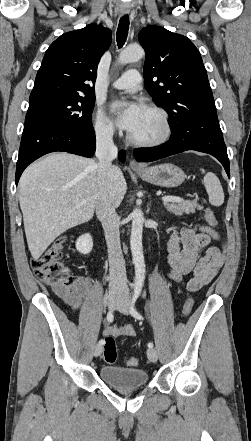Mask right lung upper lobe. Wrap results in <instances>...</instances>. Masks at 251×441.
Listing matches in <instances>:
<instances>
[{"instance_id": "1", "label": "right lung upper lobe", "mask_w": 251, "mask_h": 441, "mask_svg": "<svg viewBox=\"0 0 251 441\" xmlns=\"http://www.w3.org/2000/svg\"><path fill=\"white\" fill-rule=\"evenodd\" d=\"M110 44L111 31L99 25L61 35L44 55L29 100L93 96L98 63Z\"/></svg>"}]
</instances>
